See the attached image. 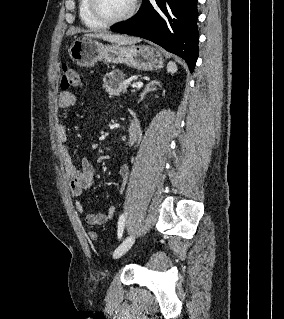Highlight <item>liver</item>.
Here are the masks:
<instances>
[{"mask_svg": "<svg viewBox=\"0 0 284 319\" xmlns=\"http://www.w3.org/2000/svg\"><path fill=\"white\" fill-rule=\"evenodd\" d=\"M85 37H92V38H100L105 41H110L112 43H118L122 45H130L135 44L140 41L139 38L135 37H128L126 35H119V34H110L107 32H101V33H88L84 35Z\"/></svg>", "mask_w": 284, "mask_h": 319, "instance_id": "1", "label": "liver"}]
</instances>
